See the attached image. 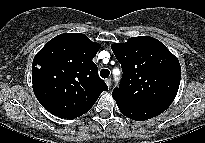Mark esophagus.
<instances>
[{"label":"esophagus","instance_id":"1","mask_svg":"<svg viewBox=\"0 0 205 143\" xmlns=\"http://www.w3.org/2000/svg\"><path fill=\"white\" fill-rule=\"evenodd\" d=\"M105 82H106V84H107L108 87L111 86V79H110V78H107V79L105 80Z\"/></svg>","mask_w":205,"mask_h":143}]
</instances>
